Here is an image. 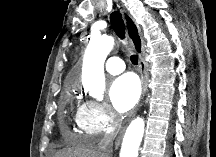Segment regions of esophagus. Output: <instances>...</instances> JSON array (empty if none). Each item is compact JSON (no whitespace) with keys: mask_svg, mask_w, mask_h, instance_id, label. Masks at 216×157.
<instances>
[{"mask_svg":"<svg viewBox=\"0 0 216 157\" xmlns=\"http://www.w3.org/2000/svg\"><path fill=\"white\" fill-rule=\"evenodd\" d=\"M121 14H122V17H123L124 22L126 24L128 35L130 37L132 45H133L134 49L137 51V53L139 55V65H140V73H141V86H142L141 99H142V97L145 95L146 90H147L146 67H145V61H144V57H143L144 41H143V38L141 37V34H140V28L136 24L133 17L125 10H121ZM134 26L136 27V29L139 32L140 40H141V47H139L138 44L132 38L133 37V27ZM123 134H124V129L121 130V132L119 133L118 137L115 140V147L116 148L119 147V145L121 143V140H122V137H123Z\"/></svg>","mask_w":216,"mask_h":157,"instance_id":"obj_1","label":"esophagus"}]
</instances>
